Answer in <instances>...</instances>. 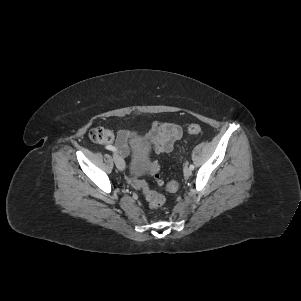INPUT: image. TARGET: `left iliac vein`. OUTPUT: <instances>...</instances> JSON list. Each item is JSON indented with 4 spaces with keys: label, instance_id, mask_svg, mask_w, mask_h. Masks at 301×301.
<instances>
[{
    "label": "left iliac vein",
    "instance_id": "left-iliac-vein-1",
    "mask_svg": "<svg viewBox=\"0 0 301 301\" xmlns=\"http://www.w3.org/2000/svg\"><path fill=\"white\" fill-rule=\"evenodd\" d=\"M184 175L186 176V177H189V176H191V174H192V171H191V169L189 168V167H184Z\"/></svg>",
    "mask_w": 301,
    "mask_h": 301
}]
</instances>
